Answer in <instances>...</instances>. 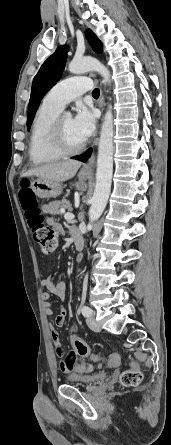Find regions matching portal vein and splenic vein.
Instances as JSON below:
<instances>
[{
  "mask_svg": "<svg viewBox=\"0 0 171 445\" xmlns=\"http://www.w3.org/2000/svg\"><path fill=\"white\" fill-rule=\"evenodd\" d=\"M61 212L64 213V218L68 221L73 220L74 219V215L72 213L69 212H65L64 209H61Z\"/></svg>",
  "mask_w": 171,
  "mask_h": 445,
  "instance_id": "portal-vein-and-splenic-vein-1",
  "label": "portal vein and splenic vein"
}]
</instances>
